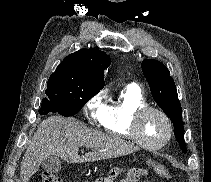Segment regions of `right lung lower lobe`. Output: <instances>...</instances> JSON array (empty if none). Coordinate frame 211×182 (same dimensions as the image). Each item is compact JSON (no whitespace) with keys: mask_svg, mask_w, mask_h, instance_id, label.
<instances>
[{"mask_svg":"<svg viewBox=\"0 0 211 182\" xmlns=\"http://www.w3.org/2000/svg\"><path fill=\"white\" fill-rule=\"evenodd\" d=\"M39 112H40V110H39ZM53 113H57V112H55V111H52ZM42 112H40V114H41ZM42 115V114H41Z\"/></svg>","mask_w":211,"mask_h":182,"instance_id":"1","label":"right lung lower lobe"}]
</instances>
